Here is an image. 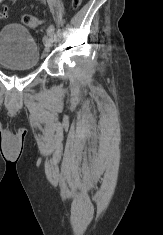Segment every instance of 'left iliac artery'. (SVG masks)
Wrapping results in <instances>:
<instances>
[{
	"instance_id": "obj_1",
	"label": "left iliac artery",
	"mask_w": 163,
	"mask_h": 235,
	"mask_svg": "<svg viewBox=\"0 0 163 235\" xmlns=\"http://www.w3.org/2000/svg\"><path fill=\"white\" fill-rule=\"evenodd\" d=\"M54 31H55V28L53 25H50L49 28L47 29V33L51 36L53 40L55 39Z\"/></svg>"
}]
</instances>
